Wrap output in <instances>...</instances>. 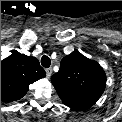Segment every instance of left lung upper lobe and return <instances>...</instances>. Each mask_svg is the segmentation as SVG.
<instances>
[{
  "label": "left lung upper lobe",
  "instance_id": "obj_1",
  "mask_svg": "<svg viewBox=\"0 0 122 122\" xmlns=\"http://www.w3.org/2000/svg\"><path fill=\"white\" fill-rule=\"evenodd\" d=\"M51 82L66 106L83 110L94 105L103 94L106 75L98 62L74 51L62 59Z\"/></svg>",
  "mask_w": 122,
  "mask_h": 122
}]
</instances>
